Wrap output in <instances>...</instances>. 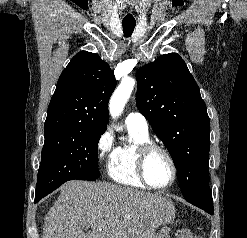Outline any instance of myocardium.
<instances>
[{
  "instance_id": "f54148a6",
  "label": "myocardium",
  "mask_w": 247,
  "mask_h": 238,
  "mask_svg": "<svg viewBox=\"0 0 247 238\" xmlns=\"http://www.w3.org/2000/svg\"><path fill=\"white\" fill-rule=\"evenodd\" d=\"M153 151L162 152L167 157V159L171 165L172 177H171V180L166 185H163V186L153 185L152 183L149 182V180L147 178L146 162H147L149 155ZM136 167H137L138 175H139L140 179L142 180V182L147 187L155 189V190H165V189H168L169 187H171L174 184V182L176 181L177 174H178L176 161H175L172 153L165 146L158 144L156 142H153V141H148L139 147L137 160H136Z\"/></svg>"
}]
</instances>
